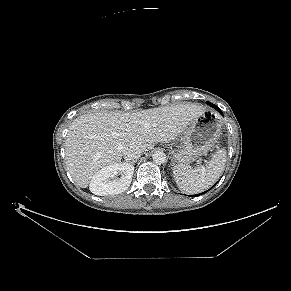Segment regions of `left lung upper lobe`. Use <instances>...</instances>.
<instances>
[{"label": "left lung upper lobe", "mask_w": 291, "mask_h": 291, "mask_svg": "<svg viewBox=\"0 0 291 291\" xmlns=\"http://www.w3.org/2000/svg\"><path fill=\"white\" fill-rule=\"evenodd\" d=\"M208 104H209L210 106L214 105V104H212V103H210V102H208Z\"/></svg>", "instance_id": "5c2ea615"}]
</instances>
